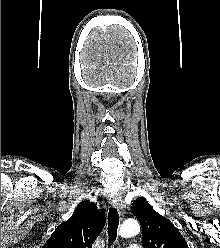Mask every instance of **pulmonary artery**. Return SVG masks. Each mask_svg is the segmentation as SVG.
<instances>
[{"instance_id":"obj_1","label":"pulmonary artery","mask_w":220,"mask_h":248,"mask_svg":"<svg viewBox=\"0 0 220 248\" xmlns=\"http://www.w3.org/2000/svg\"><path fill=\"white\" fill-rule=\"evenodd\" d=\"M128 248H142V247L138 244H131V245H129Z\"/></svg>"}]
</instances>
